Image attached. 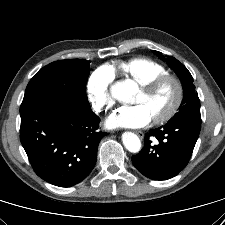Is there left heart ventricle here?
I'll use <instances>...</instances> for the list:
<instances>
[{"mask_svg":"<svg viewBox=\"0 0 225 225\" xmlns=\"http://www.w3.org/2000/svg\"><path fill=\"white\" fill-rule=\"evenodd\" d=\"M173 96V89L169 84L162 86L159 91L153 95H147L141 89L135 99V103H144L146 104L153 117L162 112L170 103Z\"/></svg>","mask_w":225,"mask_h":225,"instance_id":"obj_1","label":"left heart ventricle"}]
</instances>
